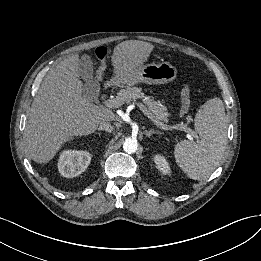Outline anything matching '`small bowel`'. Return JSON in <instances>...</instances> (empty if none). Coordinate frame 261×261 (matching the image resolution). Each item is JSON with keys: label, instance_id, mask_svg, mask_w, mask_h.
I'll return each mask as SVG.
<instances>
[{"label": "small bowel", "instance_id": "1", "mask_svg": "<svg viewBox=\"0 0 261 261\" xmlns=\"http://www.w3.org/2000/svg\"><path fill=\"white\" fill-rule=\"evenodd\" d=\"M190 96L185 95L184 92L182 91L181 93V107L185 110V112L188 111L189 107H190Z\"/></svg>", "mask_w": 261, "mask_h": 261}]
</instances>
